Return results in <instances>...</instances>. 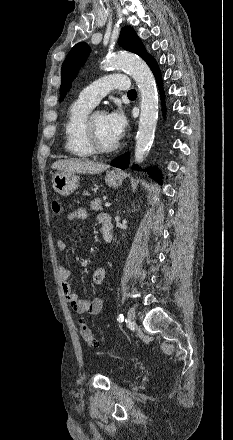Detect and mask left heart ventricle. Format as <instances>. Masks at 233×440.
I'll list each match as a JSON object with an SVG mask.
<instances>
[{"label":"left heart ventricle","instance_id":"left-heart-ventricle-1","mask_svg":"<svg viewBox=\"0 0 233 440\" xmlns=\"http://www.w3.org/2000/svg\"><path fill=\"white\" fill-rule=\"evenodd\" d=\"M94 127L101 144L108 146L117 141L108 126L106 114L99 113L95 116Z\"/></svg>","mask_w":233,"mask_h":440}]
</instances>
